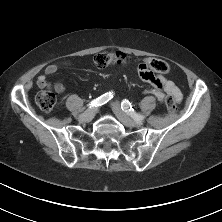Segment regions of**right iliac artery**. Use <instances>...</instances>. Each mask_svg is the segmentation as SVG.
I'll return each instance as SVG.
<instances>
[{"label":"right iliac artery","mask_w":222,"mask_h":222,"mask_svg":"<svg viewBox=\"0 0 222 222\" xmlns=\"http://www.w3.org/2000/svg\"><path fill=\"white\" fill-rule=\"evenodd\" d=\"M113 98V92H107L103 95H101L100 97L92 100L90 102V107H98V106H102L105 103H107L109 100H111Z\"/></svg>","instance_id":"82829eb1"}]
</instances>
